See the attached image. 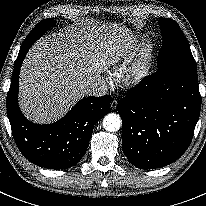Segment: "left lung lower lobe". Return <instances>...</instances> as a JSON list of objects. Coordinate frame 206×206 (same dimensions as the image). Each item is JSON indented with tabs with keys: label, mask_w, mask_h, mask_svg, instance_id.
Masks as SVG:
<instances>
[{
	"label": "left lung lower lobe",
	"mask_w": 206,
	"mask_h": 206,
	"mask_svg": "<svg viewBox=\"0 0 206 206\" xmlns=\"http://www.w3.org/2000/svg\"><path fill=\"white\" fill-rule=\"evenodd\" d=\"M200 108L197 74L169 70L147 76L118 104L127 159L137 168L155 169L180 158Z\"/></svg>",
	"instance_id": "1"
}]
</instances>
